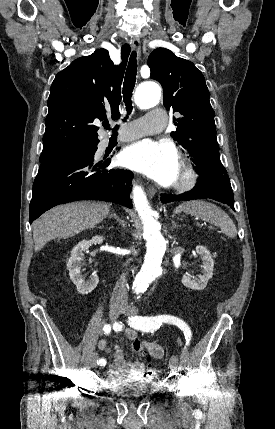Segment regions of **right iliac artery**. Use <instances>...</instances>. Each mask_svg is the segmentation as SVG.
Masks as SVG:
<instances>
[{"label":"right iliac artery","instance_id":"right-iliac-artery-1","mask_svg":"<svg viewBox=\"0 0 275 429\" xmlns=\"http://www.w3.org/2000/svg\"><path fill=\"white\" fill-rule=\"evenodd\" d=\"M103 330H104L105 334H109V333H110V331H111V326H110V324H106V325L104 326ZM97 364H98V365H100V366H105V364H106V360H105V359H103V358H101V359H99V361H97Z\"/></svg>","mask_w":275,"mask_h":429}]
</instances>
